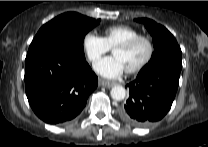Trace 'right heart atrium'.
<instances>
[{
	"mask_svg": "<svg viewBox=\"0 0 208 147\" xmlns=\"http://www.w3.org/2000/svg\"><path fill=\"white\" fill-rule=\"evenodd\" d=\"M83 48L88 60L92 63L98 61L110 48L105 39L93 32H88L83 38Z\"/></svg>",
	"mask_w": 208,
	"mask_h": 147,
	"instance_id": "d8ad5b80",
	"label": "right heart atrium"
}]
</instances>
